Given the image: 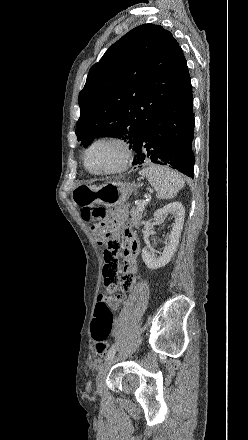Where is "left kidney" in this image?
<instances>
[{
  "instance_id": "left-kidney-1",
  "label": "left kidney",
  "mask_w": 248,
  "mask_h": 440,
  "mask_svg": "<svg viewBox=\"0 0 248 440\" xmlns=\"http://www.w3.org/2000/svg\"><path fill=\"white\" fill-rule=\"evenodd\" d=\"M167 214H171L174 217L175 222L172 225L168 243L164 247L162 254L157 256L153 251H149L147 248H143L142 250V259L149 269H158L169 263L179 244V238L185 218V209L182 203H170L165 207L158 209L154 213V217L155 219H160Z\"/></svg>"
}]
</instances>
